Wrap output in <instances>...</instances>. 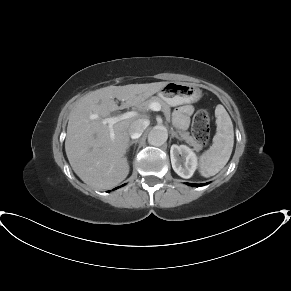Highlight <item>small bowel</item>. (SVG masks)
Returning a JSON list of instances; mask_svg holds the SVG:
<instances>
[{
	"label": "small bowel",
	"instance_id": "small-bowel-1",
	"mask_svg": "<svg viewBox=\"0 0 291 291\" xmlns=\"http://www.w3.org/2000/svg\"><path fill=\"white\" fill-rule=\"evenodd\" d=\"M192 107L190 105L181 106L174 113V121L179 128H185L188 124V116L192 113Z\"/></svg>",
	"mask_w": 291,
	"mask_h": 291
}]
</instances>
